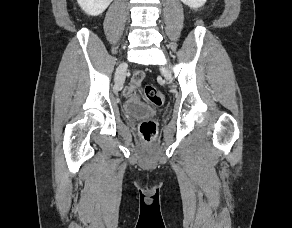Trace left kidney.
I'll use <instances>...</instances> for the list:
<instances>
[{
  "label": "left kidney",
  "mask_w": 292,
  "mask_h": 228,
  "mask_svg": "<svg viewBox=\"0 0 292 228\" xmlns=\"http://www.w3.org/2000/svg\"><path fill=\"white\" fill-rule=\"evenodd\" d=\"M185 5L190 8L197 9L205 4L207 0H181Z\"/></svg>",
  "instance_id": "5707ae66"
}]
</instances>
